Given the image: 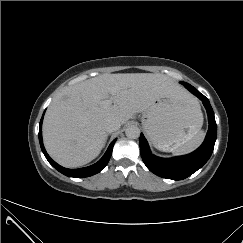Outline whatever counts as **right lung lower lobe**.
Masks as SVG:
<instances>
[{
    "mask_svg": "<svg viewBox=\"0 0 243 243\" xmlns=\"http://www.w3.org/2000/svg\"><path fill=\"white\" fill-rule=\"evenodd\" d=\"M42 120H43V116L41 118L40 125H39L40 146H41L42 152L44 153L46 159L56 170H58L59 172H61L62 174L66 175L68 177L82 178V177H89V176H92V175L100 172L107 165V163L111 157L112 149H113L114 143L116 142V139L111 142V144L109 145L104 156L97 163H95L89 167L79 168V169H67V168H64V167L58 165L56 162H54L49 157V155L47 154V152L44 148L43 141H42V131H41Z\"/></svg>",
    "mask_w": 243,
    "mask_h": 243,
    "instance_id": "98d812e1",
    "label": "right lung lower lobe"
}]
</instances>
